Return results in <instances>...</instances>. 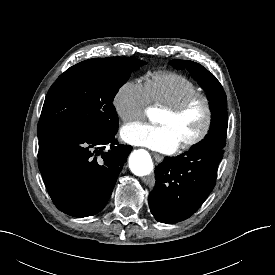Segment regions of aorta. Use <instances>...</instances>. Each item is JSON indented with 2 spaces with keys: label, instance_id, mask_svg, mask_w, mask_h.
Instances as JSON below:
<instances>
[{
  "label": "aorta",
  "instance_id": "aorta-1",
  "mask_svg": "<svg viewBox=\"0 0 275 275\" xmlns=\"http://www.w3.org/2000/svg\"><path fill=\"white\" fill-rule=\"evenodd\" d=\"M147 115L151 120H157L159 111L150 108ZM129 167L131 171L138 176H146L153 171V162L150 155L144 150H136L129 157Z\"/></svg>",
  "mask_w": 275,
  "mask_h": 275
}]
</instances>
